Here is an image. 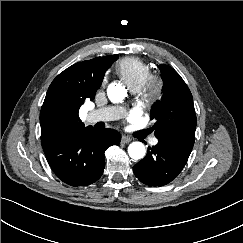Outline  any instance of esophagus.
Returning a JSON list of instances; mask_svg holds the SVG:
<instances>
[{
  "mask_svg": "<svg viewBox=\"0 0 243 243\" xmlns=\"http://www.w3.org/2000/svg\"><path fill=\"white\" fill-rule=\"evenodd\" d=\"M132 139L129 136L123 135L121 138L122 143H129Z\"/></svg>",
  "mask_w": 243,
  "mask_h": 243,
  "instance_id": "obj_1",
  "label": "esophagus"
}]
</instances>
